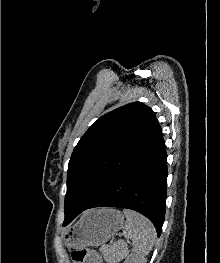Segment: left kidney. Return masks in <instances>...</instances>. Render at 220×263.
Listing matches in <instances>:
<instances>
[{
  "label": "left kidney",
  "mask_w": 220,
  "mask_h": 263,
  "mask_svg": "<svg viewBox=\"0 0 220 263\" xmlns=\"http://www.w3.org/2000/svg\"><path fill=\"white\" fill-rule=\"evenodd\" d=\"M124 263H146V259L136 255H130L126 258Z\"/></svg>",
  "instance_id": "left-kidney-1"
}]
</instances>
